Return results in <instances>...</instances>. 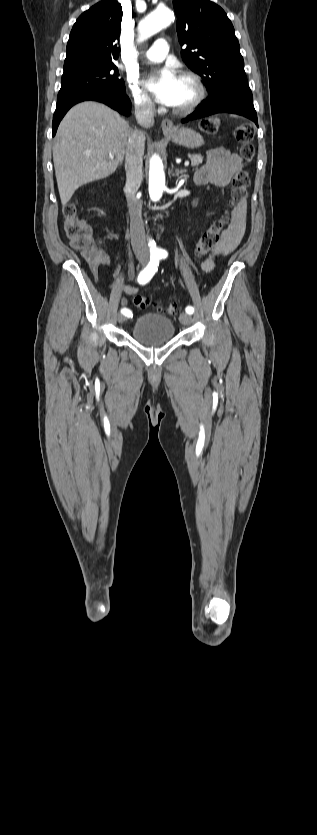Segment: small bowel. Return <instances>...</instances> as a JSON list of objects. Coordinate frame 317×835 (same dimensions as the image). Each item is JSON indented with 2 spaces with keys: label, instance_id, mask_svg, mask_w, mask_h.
I'll return each instance as SVG.
<instances>
[{
  "label": "small bowel",
  "instance_id": "1",
  "mask_svg": "<svg viewBox=\"0 0 317 835\" xmlns=\"http://www.w3.org/2000/svg\"><path fill=\"white\" fill-rule=\"evenodd\" d=\"M244 167L241 158L225 147H218L207 152L205 162L193 174V181L197 185L212 184L217 187L227 186L232 178ZM247 225V212L244 206L240 207L230 224L223 232L222 239L214 247L212 253L201 262V269L205 272L212 271L217 264L219 256H226L233 252L241 242ZM89 267L94 274L99 272L101 266L113 268L110 255L100 249L95 253L94 258L88 260ZM123 290L127 295H135L139 289L129 284H123ZM126 304V300H122Z\"/></svg>",
  "mask_w": 317,
  "mask_h": 835
}]
</instances>
